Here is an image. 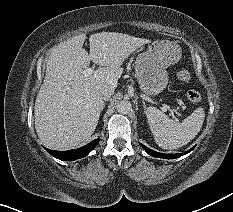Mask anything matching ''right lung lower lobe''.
<instances>
[{
    "mask_svg": "<svg viewBox=\"0 0 233 212\" xmlns=\"http://www.w3.org/2000/svg\"><path fill=\"white\" fill-rule=\"evenodd\" d=\"M98 143H99V139H95L91 143L81 148L68 150V151H55L47 148L45 149L49 154H51L57 159L65 160V161H74L76 159L83 158L86 155H88L96 147Z\"/></svg>",
    "mask_w": 233,
    "mask_h": 212,
    "instance_id": "obj_1",
    "label": "right lung lower lobe"
}]
</instances>
